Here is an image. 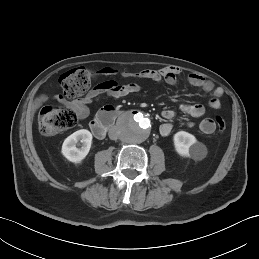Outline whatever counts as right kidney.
<instances>
[{"instance_id":"ca27d5eb","label":"right kidney","mask_w":259,"mask_h":259,"mask_svg":"<svg viewBox=\"0 0 259 259\" xmlns=\"http://www.w3.org/2000/svg\"><path fill=\"white\" fill-rule=\"evenodd\" d=\"M81 147L77 148V143ZM92 143V134L86 129H81L68 136L62 145L61 152L65 158L73 163H80L89 153Z\"/></svg>"}]
</instances>
